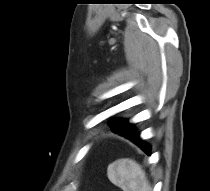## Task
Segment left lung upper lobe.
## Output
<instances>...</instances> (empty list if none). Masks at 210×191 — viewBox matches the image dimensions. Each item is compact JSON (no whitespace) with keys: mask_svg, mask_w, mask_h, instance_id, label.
<instances>
[{"mask_svg":"<svg viewBox=\"0 0 210 191\" xmlns=\"http://www.w3.org/2000/svg\"><path fill=\"white\" fill-rule=\"evenodd\" d=\"M110 128L113 132L120 135H126L135 131L132 124H129L126 120L115 119L109 123Z\"/></svg>","mask_w":210,"mask_h":191,"instance_id":"left-lung-upper-lobe-1","label":"left lung upper lobe"}]
</instances>
